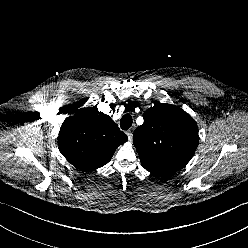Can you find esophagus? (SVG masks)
<instances>
[{"label":"esophagus","mask_w":248,"mask_h":248,"mask_svg":"<svg viewBox=\"0 0 248 248\" xmlns=\"http://www.w3.org/2000/svg\"><path fill=\"white\" fill-rule=\"evenodd\" d=\"M133 128L132 129H129L128 131H126V134H127V137L129 139V141H132V138H133Z\"/></svg>","instance_id":"obj_1"}]
</instances>
